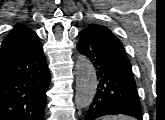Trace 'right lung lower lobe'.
Listing matches in <instances>:
<instances>
[{
	"label": "right lung lower lobe",
	"mask_w": 165,
	"mask_h": 120,
	"mask_svg": "<svg viewBox=\"0 0 165 120\" xmlns=\"http://www.w3.org/2000/svg\"><path fill=\"white\" fill-rule=\"evenodd\" d=\"M50 72L35 32L2 44L0 120H43Z\"/></svg>",
	"instance_id": "right-lung-lower-lobe-1"
}]
</instances>
